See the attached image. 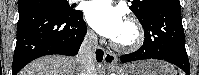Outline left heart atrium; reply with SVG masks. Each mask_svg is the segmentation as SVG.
Returning a JSON list of instances; mask_svg holds the SVG:
<instances>
[{"label": "left heart atrium", "mask_w": 199, "mask_h": 75, "mask_svg": "<svg viewBox=\"0 0 199 75\" xmlns=\"http://www.w3.org/2000/svg\"><path fill=\"white\" fill-rule=\"evenodd\" d=\"M85 15L97 33L114 41L118 40L127 25L124 14L109 1H91Z\"/></svg>", "instance_id": "obj_1"}]
</instances>
